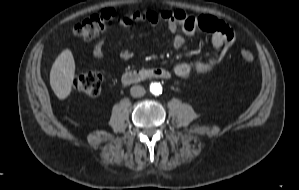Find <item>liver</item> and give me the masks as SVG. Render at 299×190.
Segmentation results:
<instances>
[{"label":"liver","instance_id":"obj_1","mask_svg":"<svg viewBox=\"0 0 299 190\" xmlns=\"http://www.w3.org/2000/svg\"><path fill=\"white\" fill-rule=\"evenodd\" d=\"M75 62L70 50H64L55 60L50 72V85L59 99L69 96L74 80Z\"/></svg>","mask_w":299,"mask_h":190}]
</instances>
